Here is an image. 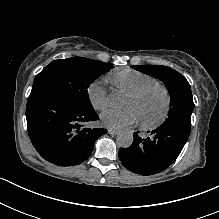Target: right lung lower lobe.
<instances>
[{
	"label": "right lung lower lobe",
	"mask_w": 219,
	"mask_h": 219,
	"mask_svg": "<svg viewBox=\"0 0 219 219\" xmlns=\"http://www.w3.org/2000/svg\"><path fill=\"white\" fill-rule=\"evenodd\" d=\"M31 142L47 161L59 166H74L86 160L97 138L106 129L83 128L98 120L94 109L79 108L65 98L49 93H31L26 106Z\"/></svg>",
	"instance_id": "right-lung-lower-lobe-1"
}]
</instances>
